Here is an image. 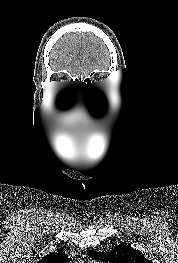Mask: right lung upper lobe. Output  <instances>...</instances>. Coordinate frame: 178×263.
Returning <instances> with one entry per match:
<instances>
[{
  "label": "right lung upper lobe",
  "mask_w": 178,
  "mask_h": 263,
  "mask_svg": "<svg viewBox=\"0 0 178 263\" xmlns=\"http://www.w3.org/2000/svg\"><path fill=\"white\" fill-rule=\"evenodd\" d=\"M69 261L70 258L62 250H59L58 253L46 255L38 263H69Z\"/></svg>",
  "instance_id": "right-lung-upper-lobe-1"
}]
</instances>
